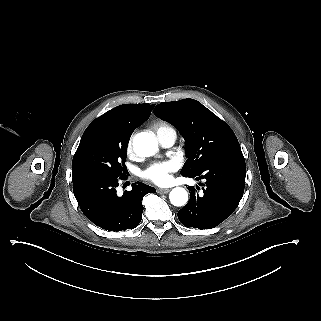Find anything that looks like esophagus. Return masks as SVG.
I'll list each match as a JSON object with an SVG mask.
<instances>
[{
    "label": "esophagus",
    "mask_w": 321,
    "mask_h": 321,
    "mask_svg": "<svg viewBox=\"0 0 321 321\" xmlns=\"http://www.w3.org/2000/svg\"><path fill=\"white\" fill-rule=\"evenodd\" d=\"M170 190H171L170 188H158V189H157V192H158L159 194H166V193H168Z\"/></svg>",
    "instance_id": "1"
}]
</instances>
